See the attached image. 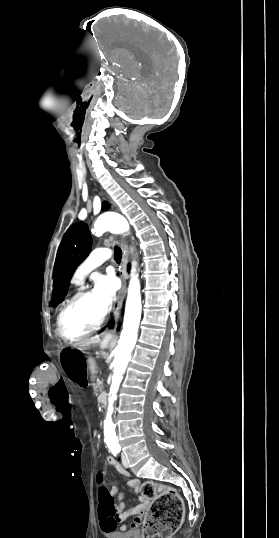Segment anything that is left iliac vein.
<instances>
[{
    "instance_id": "4c4485c4",
    "label": "left iliac vein",
    "mask_w": 279,
    "mask_h": 538,
    "mask_svg": "<svg viewBox=\"0 0 279 538\" xmlns=\"http://www.w3.org/2000/svg\"><path fill=\"white\" fill-rule=\"evenodd\" d=\"M121 458H122V464L125 468H128L129 467V463H128V460H127V457L124 453H122L121 455Z\"/></svg>"
}]
</instances>
